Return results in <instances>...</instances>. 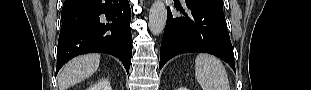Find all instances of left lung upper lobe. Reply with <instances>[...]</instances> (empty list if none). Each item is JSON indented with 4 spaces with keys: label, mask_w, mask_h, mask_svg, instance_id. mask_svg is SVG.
I'll return each mask as SVG.
<instances>
[{
    "label": "left lung upper lobe",
    "mask_w": 311,
    "mask_h": 90,
    "mask_svg": "<svg viewBox=\"0 0 311 90\" xmlns=\"http://www.w3.org/2000/svg\"><path fill=\"white\" fill-rule=\"evenodd\" d=\"M193 1L210 6L214 9L223 11L222 0H193Z\"/></svg>",
    "instance_id": "left-lung-upper-lobe-1"
}]
</instances>
